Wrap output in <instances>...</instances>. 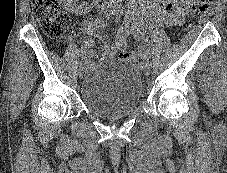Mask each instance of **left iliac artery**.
Here are the masks:
<instances>
[{"label": "left iliac artery", "instance_id": "left-iliac-artery-1", "mask_svg": "<svg viewBox=\"0 0 227 173\" xmlns=\"http://www.w3.org/2000/svg\"><path fill=\"white\" fill-rule=\"evenodd\" d=\"M115 15H116V19H118V17H119V11H116ZM147 64H149L151 66V62H149V60H147Z\"/></svg>", "mask_w": 227, "mask_h": 173}]
</instances>
